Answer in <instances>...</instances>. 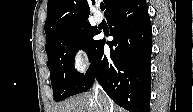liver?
<instances>
[{"instance_id": "liver-1", "label": "liver", "mask_w": 193, "mask_h": 112, "mask_svg": "<svg viewBox=\"0 0 193 112\" xmlns=\"http://www.w3.org/2000/svg\"><path fill=\"white\" fill-rule=\"evenodd\" d=\"M106 101L109 112H113V110L123 112L122 109L113 107L108 100ZM56 112H103V109L95 99L94 92H90L78 95L58 104Z\"/></svg>"}]
</instances>
